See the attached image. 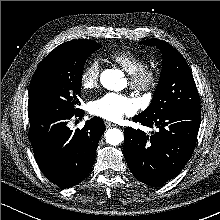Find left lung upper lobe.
I'll use <instances>...</instances> for the list:
<instances>
[{
    "instance_id": "1",
    "label": "left lung upper lobe",
    "mask_w": 220,
    "mask_h": 220,
    "mask_svg": "<svg viewBox=\"0 0 220 220\" xmlns=\"http://www.w3.org/2000/svg\"><path fill=\"white\" fill-rule=\"evenodd\" d=\"M140 43L156 46L163 54L161 76L143 117H157L173 110L200 111V99L191 70L184 57L170 44L159 39Z\"/></svg>"
}]
</instances>
